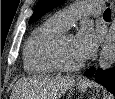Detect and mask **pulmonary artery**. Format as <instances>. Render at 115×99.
<instances>
[{"instance_id": "1", "label": "pulmonary artery", "mask_w": 115, "mask_h": 99, "mask_svg": "<svg viewBox=\"0 0 115 99\" xmlns=\"http://www.w3.org/2000/svg\"><path fill=\"white\" fill-rule=\"evenodd\" d=\"M102 11V1H86L76 3L68 8L56 12L51 20L67 29L78 18L87 15H97Z\"/></svg>"}]
</instances>
